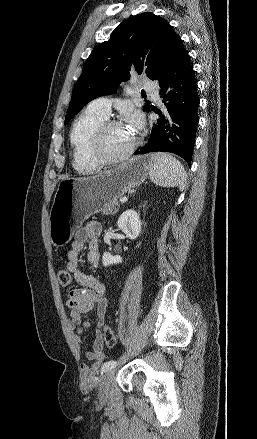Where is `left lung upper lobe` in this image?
Listing matches in <instances>:
<instances>
[{"label":"left lung upper lobe","mask_w":257,"mask_h":439,"mask_svg":"<svg viewBox=\"0 0 257 439\" xmlns=\"http://www.w3.org/2000/svg\"><path fill=\"white\" fill-rule=\"evenodd\" d=\"M179 36L161 17L151 12L141 13L123 21L110 39L96 46L83 66L72 93L65 124L88 102L115 92L130 73L145 72L157 80L174 51ZM150 102L146 101L144 111Z\"/></svg>","instance_id":"5c2ea615"}]
</instances>
